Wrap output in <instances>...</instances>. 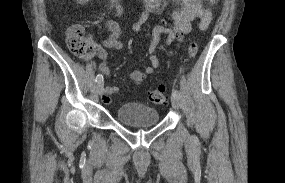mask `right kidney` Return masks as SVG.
Instances as JSON below:
<instances>
[{"label": "right kidney", "mask_w": 285, "mask_h": 183, "mask_svg": "<svg viewBox=\"0 0 285 183\" xmlns=\"http://www.w3.org/2000/svg\"><path fill=\"white\" fill-rule=\"evenodd\" d=\"M89 0H76L77 3L79 4H84L87 3Z\"/></svg>", "instance_id": "ca27d5eb"}]
</instances>
